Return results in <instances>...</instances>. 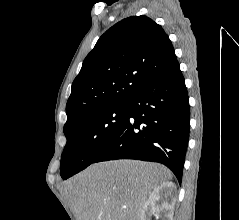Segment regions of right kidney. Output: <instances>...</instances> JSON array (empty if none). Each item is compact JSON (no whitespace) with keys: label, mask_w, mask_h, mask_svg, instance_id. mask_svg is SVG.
<instances>
[{"label":"right kidney","mask_w":239,"mask_h":220,"mask_svg":"<svg viewBox=\"0 0 239 220\" xmlns=\"http://www.w3.org/2000/svg\"><path fill=\"white\" fill-rule=\"evenodd\" d=\"M176 186L172 182H163L154 188L143 206L140 220H150L152 214L157 219L172 220L176 201Z\"/></svg>","instance_id":"1"}]
</instances>
